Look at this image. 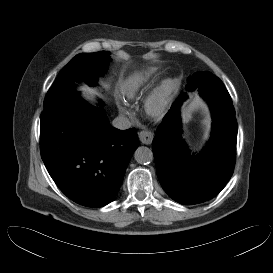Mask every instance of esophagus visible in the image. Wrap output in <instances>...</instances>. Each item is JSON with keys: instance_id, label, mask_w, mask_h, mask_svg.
Returning a JSON list of instances; mask_svg holds the SVG:
<instances>
[{"instance_id": "34e87169", "label": "esophagus", "mask_w": 273, "mask_h": 273, "mask_svg": "<svg viewBox=\"0 0 273 273\" xmlns=\"http://www.w3.org/2000/svg\"><path fill=\"white\" fill-rule=\"evenodd\" d=\"M138 136L140 141L145 145H150L154 137L152 132L146 130L140 131Z\"/></svg>"}]
</instances>
